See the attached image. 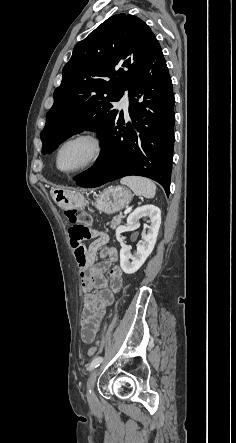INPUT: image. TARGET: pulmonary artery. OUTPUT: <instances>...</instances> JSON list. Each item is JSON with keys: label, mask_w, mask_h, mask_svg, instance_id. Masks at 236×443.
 <instances>
[{"label": "pulmonary artery", "mask_w": 236, "mask_h": 443, "mask_svg": "<svg viewBox=\"0 0 236 443\" xmlns=\"http://www.w3.org/2000/svg\"><path fill=\"white\" fill-rule=\"evenodd\" d=\"M117 107L124 111L125 115H128L129 97L125 94L118 102Z\"/></svg>", "instance_id": "pulmonary-artery-1"}]
</instances>
